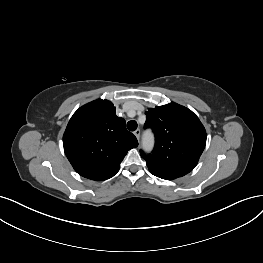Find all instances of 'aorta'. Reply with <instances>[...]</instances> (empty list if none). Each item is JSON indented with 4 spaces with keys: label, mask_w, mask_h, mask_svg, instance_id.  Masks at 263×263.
I'll list each match as a JSON object with an SVG mask.
<instances>
[{
    "label": "aorta",
    "mask_w": 263,
    "mask_h": 263,
    "mask_svg": "<svg viewBox=\"0 0 263 263\" xmlns=\"http://www.w3.org/2000/svg\"><path fill=\"white\" fill-rule=\"evenodd\" d=\"M144 145H145L146 149H151V147L153 145L152 140H146Z\"/></svg>",
    "instance_id": "obj_1"
}]
</instances>
